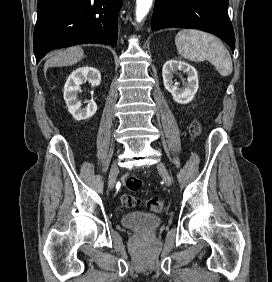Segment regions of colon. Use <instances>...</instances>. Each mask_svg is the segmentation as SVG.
Listing matches in <instances>:
<instances>
[{
    "instance_id": "1",
    "label": "colon",
    "mask_w": 272,
    "mask_h": 282,
    "mask_svg": "<svg viewBox=\"0 0 272 282\" xmlns=\"http://www.w3.org/2000/svg\"><path fill=\"white\" fill-rule=\"evenodd\" d=\"M199 133L200 126L198 124H193L191 127V135L197 137ZM126 186L130 191H138L142 187V182L139 178L130 176L126 180ZM121 202L123 207L132 208L137 204L138 200L132 195L125 194L121 197ZM145 204L147 209L153 213L161 212L164 207L163 200L158 197L147 198Z\"/></svg>"
}]
</instances>
